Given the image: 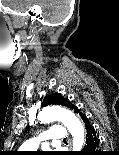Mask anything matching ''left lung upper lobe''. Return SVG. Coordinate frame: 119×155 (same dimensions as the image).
<instances>
[{"instance_id": "obj_1", "label": "left lung upper lobe", "mask_w": 119, "mask_h": 155, "mask_svg": "<svg viewBox=\"0 0 119 155\" xmlns=\"http://www.w3.org/2000/svg\"><path fill=\"white\" fill-rule=\"evenodd\" d=\"M48 105H62L69 109H73L75 107L68 99L62 97L60 93H52L44 97L41 103V107H45Z\"/></svg>"}]
</instances>
